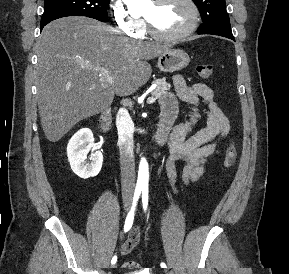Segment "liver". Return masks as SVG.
<instances>
[{"label":"liver","instance_id":"obj_1","mask_svg":"<svg viewBox=\"0 0 289 274\" xmlns=\"http://www.w3.org/2000/svg\"><path fill=\"white\" fill-rule=\"evenodd\" d=\"M36 86L46 138L59 141L78 122L105 110L117 93L131 94L150 79L147 60L168 46L123 37L83 16L52 21L36 44ZM97 68L106 69L110 84Z\"/></svg>","mask_w":289,"mask_h":274}]
</instances>
